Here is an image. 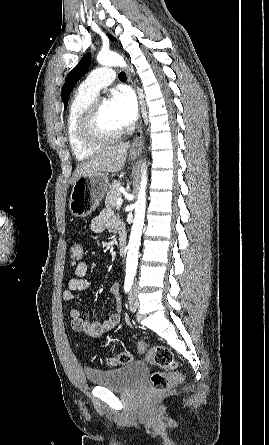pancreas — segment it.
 I'll use <instances>...</instances> for the list:
<instances>
[{
	"label": "pancreas",
	"instance_id": "obj_1",
	"mask_svg": "<svg viewBox=\"0 0 269 445\" xmlns=\"http://www.w3.org/2000/svg\"><path fill=\"white\" fill-rule=\"evenodd\" d=\"M120 183L113 182L110 185V191L107 193L105 198V205L109 208H114L116 205V200L121 198V193L119 191Z\"/></svg>",
	"mask_w": 269,
	"mask_h": 445
}]
</instances>
